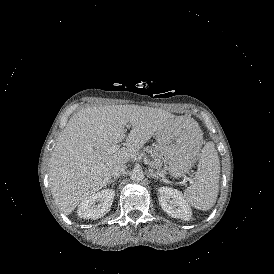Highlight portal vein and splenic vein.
<instances>
[{
  "mask_svg": "<svg viewBox=\"0 0 274 274\" xmlns=\"http://www.w3.org/2000/svg\"><path fill=\"white\" fill-rule=\"evenodd\" d=\"M130 128V125L128 124L127 126H126V129L128 130ZM121 146H122V143H118V144H115V145H112L111 147H110V151L111 152H114V151H116V150H119L120 148H121ZM191 182V181H190Z\"/></svg>",
  "mask_w": 274,
  "mask_h": 274,
  "instance_id": "portal-vein-and-splenic-vein-1",
  "label": "portal vein and splenic vein"
}]
</instances>
